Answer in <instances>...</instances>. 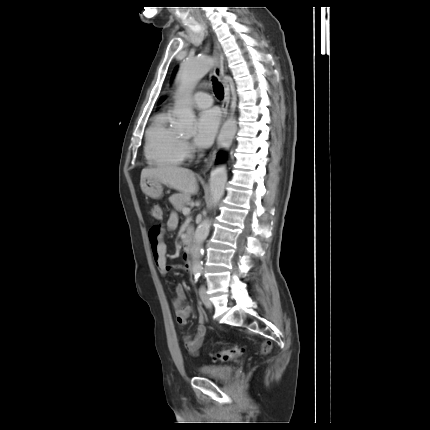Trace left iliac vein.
<instances>
[{
    "label": "left iliac vein",
    "instance_id": "1",
    "mask_svg": "<svg viewBox=\"0 0 430 430\" xmlns=\"http://www.w3.org/2000/svg\"><path fill=\"white\" fill-rule=\"evenodd\" d=\"M199 294H200L201 300L204 303L205 307L208 309H211L212 303L209 299V296L207 295V290H206V287L204 285H202L200 287Z\"/></svg>",
    "mask_w": 430,
    "mask_h": 430
}]
</instances>
